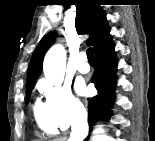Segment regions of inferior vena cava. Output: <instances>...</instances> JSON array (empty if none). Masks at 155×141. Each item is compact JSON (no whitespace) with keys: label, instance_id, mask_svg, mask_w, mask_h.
<instances>
[{"label":"inferior vena cava","instance_id":"602c4592","mask_svg":"<svg viewBox=\"0 0 155 141\" xmlns=\"http://www.w3.org/2000/svg\"><path fill=\"white\" fill-rule=\"evenodd\" d=\"M86 124L87 115L83 112L79 119L72 125V132L68 141H82L88 133V129L85 127Z\"/></svg>","mask_w":155,"mask_h":141}]
</instances>
